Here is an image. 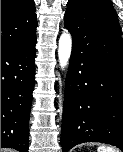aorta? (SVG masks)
Instances as JSON below:
<instances>
[{
    "mask_svg": "<svg viewBox=\"0 0 123 152\" xmlns=\"http://www.w3.org/2000/svg\"><path fill=\"white\" fill-rule=\"evenodd\" d=\"M72 51V37L68 31L62 33L58 42V59L62 69L68 66Z\"/></svg>",
    "mask_w": 123,
    "mask_h": 152,
    "instance_id": "aorta-1",
    "label": "aorta"
}]
</instances>
